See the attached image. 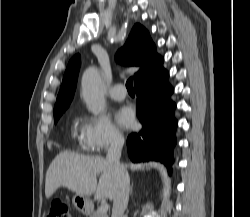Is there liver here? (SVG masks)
<instances>
[{
    "mask_svg": "<svg viewBox=\"0 0 250 217\" xmlns=\"http://www.w3.org/2000/svg\"><path fill=\"white\" fill-rule=\"evenodd\" d=\"M145 164L130 163L135 171ZM101 174L97 182V176ZM60 187H66L78 195L91 196L100 200H113L115 192L114 173L107 162L99 156H82L71 152H61L50 164L45 180V196L50 198Z\"/></svg>",
    "mask_w": 250,
    "mask_h": 217,
    "instance_id": "1",
    "label": "liver"
}]
</instances>
